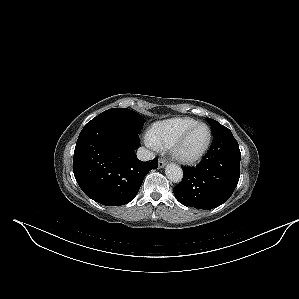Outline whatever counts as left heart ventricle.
Returning a JSON list of instances; mask_svg holds the SVG:
<instances>
[{
	"mask_svg": "<svg viewBox=\"0 0 299 299\" xmlns=\"http://www.w3.org/2000/svg\"><path fill=\"white\" fill-rule=\"evenodd\" d=\"M208 137V131L204 126L196 127L186 139L183 145V152L191 155L198 152L206 143Z\"/></svg>",
	"mask_w": 299,
	"mask_h": 299,
	"instance_id": "left-heart-ventricle-1",
	"label": "left heart ventricle"
}]
</instances>
